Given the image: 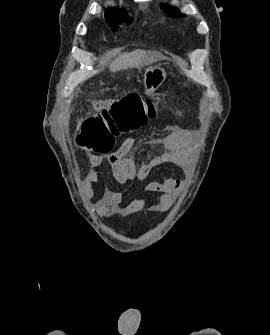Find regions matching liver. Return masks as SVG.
Segmentation results:
<instances>
[{
	"label": "liver",
	"instance_id": "6515ba94",
	"mask_svg": "<svg viewBox=\"0 0 270 335\" xmlns=\"http://www.w3.org/2000/svg\"><path fill=\"white\" fill-rule=\"evenodd\" d=\"M145 62H154V56L145 52V50H134L129 54H120L118 58H115L114 62L110 64L111 72H117V70H127V68H139L141 64Z\"/></svg>",
	"mask_w": 270,
	"mask_h": 335
}]
</instances>
